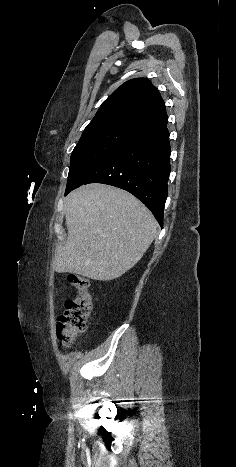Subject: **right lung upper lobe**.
<instances>
[{
	"instance_id": "right-lung-upper-lobe-1",
	"label": "right lung upper lobe",
	"mask_w": 236,
	"mask_h": 467,
	"mask_svg": "<svg viewBox=\"0 0 236 467\" xmlns=\"http://www.w3.org/2000/svg\"><path fill=\"white\" fill-rule=\"evenodd\" d=\"M167 119L156 87L146 78H135L122 84L102 103L85 129L121 126L140 133Z\"/></svg>"
}]
</instances>
